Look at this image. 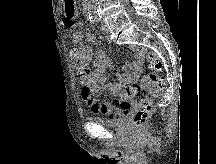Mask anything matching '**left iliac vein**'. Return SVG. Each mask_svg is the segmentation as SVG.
I'll return each instance as SVG.
<instances>
[{"instance_id": "1", "label": "left iliac vein", "mask_w": 216, "mask_h": 164, "mask_svg": "<svg viewBox=\"0 0 216 164\" xmlns=\"http://www.w3.org/2000/svg\"><path fill=\"white\" fill-rule=\"evenodd\" d=\"M101 30H102L104 33H108V32H109V28H108V26H107L106 23L102 22Z\"/></svg>"}]
</instances>
